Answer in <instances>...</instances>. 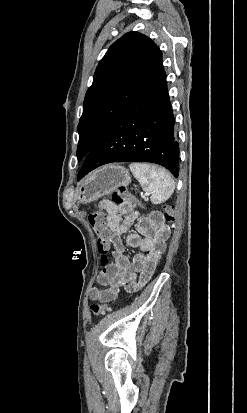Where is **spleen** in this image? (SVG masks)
<instances>
[{"mask_svg": "<svg viewBox=\"0 0 247 413\" xmlns=\"http://www.w3.org/2000/svg\"><path fill=\"white\" fill-rule=\"evenodd\" d=\"M131 172L138 178L143 190L150 192L151 202L160 204L170 198L174 192L175 182L168 170L160 168H146L145 162L129 164Z\"/></svg>", "mask_w": 247, "mask_h": 413, "instance_id": "3e777b00", "label": "spleen"}]
</instances>
